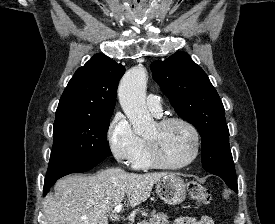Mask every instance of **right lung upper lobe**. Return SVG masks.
<instances>
[{"mask_svg": "<svg viewBox=\"0 0 275 224\" xmlns=\"http://www.w3.org/2000/svg\"><path fill=\"white\" fill-rule=\"evenodd\" d=\"M123 65L104 54L94 55L75 72L64 90L55 119L112 115Z\"/></svg>", "mask_w": 275, "mask_h": 224, "instance_id": "cb5924a9", "label": "right lung upper lobe"}]
</instances>
